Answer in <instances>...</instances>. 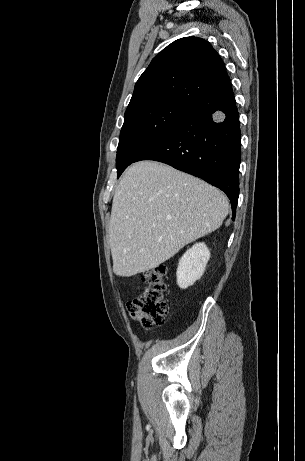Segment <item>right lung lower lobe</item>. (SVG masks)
Here are the masks:
<instances>
[{"label": "right lung lower lobe", "instance_id": "1", "mask_svg": "<svg viewBox=\"0 0 305 461\" xmlns=\"http://www.w3.org/2000/svg\"><path fill=\"white\" fill-rule=\"evenodd\" d=\"M240 140L238 109L228 82L191 104L171 130L134 162H163L220 188L230 199L234 220L239 196Z\"/></svg>", "mask_w": 305, "mask_h": 461}]
</instances>
